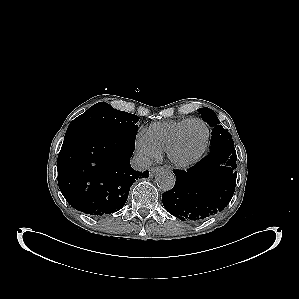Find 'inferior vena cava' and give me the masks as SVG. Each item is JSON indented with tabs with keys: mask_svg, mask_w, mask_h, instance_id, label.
<instances>
[{
	"mask_svg": "<svg viewBox=\"0 0 299 299\" xmlns=\"http://www.w3.org/2000/svg\"><path fill=\"white\" fill-rule=\"evenodd\" d=\"M151 164V161L143 155H135L131 159V166L133 169L137 171H144L146 170Z\"/></svg>",
	"mask_w": 299,
	"mask_h": 299,
	"instance_id": "obj_1",
	"label": "inferior vena cava"
}]
</instances>
